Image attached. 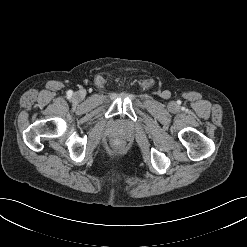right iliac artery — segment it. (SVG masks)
<instances>
[{
  "mask_svg": "<svg viewBox=\"0 0 247 247\" xmlns=\"http://www.w3.org/2000/svg\"><path fill=\"white\" fill-rule=\"evenodd\" d=\"M72 94H73V91H72V90H69V91L67 92V95H68L69 97H71Z\"/></svg>",
  "mask_w": 247,
  "mask_h": 247,
  "instance_id": "82829eb1",
  "label": "right iliac artery"
}]
</instances>
